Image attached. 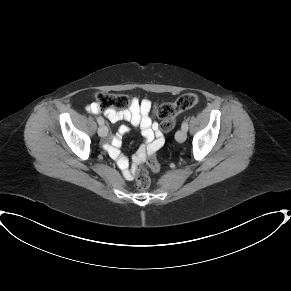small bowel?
I'll return each mask as SVG.
<instances>
[{"label": "small bowel", "instance_id": "1", "mask_svg": "<svg viewBox=\"0 0 291 291\" xmlns=\"http://www.w3.org/2000/svg\"><path fill=\"white\" fill-rule=\"evenodd\" d=\"M88 111L94 114L101 112L96 103L90 104ZM154 112L155 104L151 100L134 98L128 108L122 110L109 109L104 111V114L111 122L127 121L133 126L140 127L147 146L146 148L142 147L138 155L144 157L145 151L149 153L154 143H158L160 147L163 144V136L159 125L152 119ZM128 131L129 127L127 125L120 126L118 132L111 136L110 141L105 147L113 157L117 158L118 166L122 171L123 177L126 180H133L136 176L135 169L130 168L129 161L119 156L117 150L122 135Z\"/></svg>", "mask_w": 291, "mask_h": 291}]
</instances>
